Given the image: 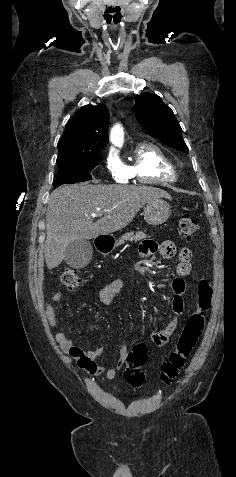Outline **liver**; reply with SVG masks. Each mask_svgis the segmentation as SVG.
<instances>
[{"label": "liver", "instance_id": "obj_1", "mask_svg": "<svg viewBox=\"0 0 236 477\" xmlns=\"http://www.w3.org/2000/svg\"><path fill=\"white\" fill-rule=\"evenodd\" d=\"M162 197L170 199L166 191L150 186L82 183L57 188L49 197L46 213L48 269L61 264L70 242L121 230L146 203ZM96 212H104V217L94 223L91 214Z\"/></svg>", "mask_w": 236, "mask_h": 477}]
</instances>
